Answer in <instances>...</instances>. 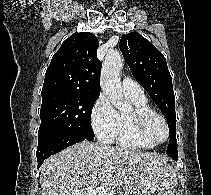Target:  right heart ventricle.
<instances>
[{
    "mask_svg": "<svg viewBox=\"0 0 211 195\" xmlns=\"http://www.w3.org/2000/svg\"><path fill=\"white\" fill-rule=\"evenodd\" d=\"M127 96L133 104V110L131 112H118L117 130L113 141L124 148L138 150L150 149L152 146L142 141L136 134L133 113L153 111V109L148 103L146 96Z\"/></svg>",
    "mask_w": 211,
    "mask_h": 195,
    "instance_id": "e07e8e85",
    "label": "right heart ventricle"
}]
</instances>
